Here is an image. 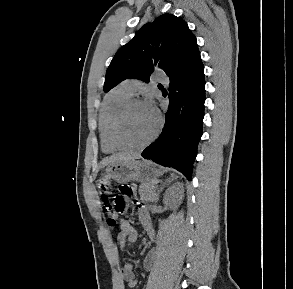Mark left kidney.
I'll return each mask as SVG.
<instances>
[{"mask_svg": "<svg viewBox=\"0 0 293 289\" xmlns=\"http://www.w3.org/2000/svg\"><path fill=\"white\" fill-rule=\"evenodd\" d=\"M182 191H183V184L180 182L175 183L173 186H171L165 193L163 202L170 206L171 208H177L182 199ZM173 195V198L170 200L169 196Z\"/></svg>", "mask_w": 293, "mask_h": 289, "instance_id": "obj_1", "label": "left kidney"}]
</instances>
